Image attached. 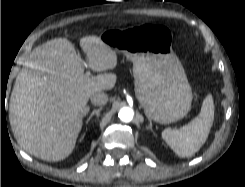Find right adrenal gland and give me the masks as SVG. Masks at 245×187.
I'll use <instances>...</instances> for the list:
<instances>
[{"mask_svg":"<svg viewBox=\"0 0 245 187\" xmlns=\"http://www.w3.org/2000/svg\"><path fill=\"white\" fill-rule=\"evenodd\" d=\"M102 110V107H100V108H98V109H94L92 112H91V114H90V116L88 117V119L86 120V124H88L89 123V121L91 120V118L95 115V116H97V117H99V115H100V111Z\"/></svg>","mask_w":245,"mask_h":187,"instance_id":"right-adrenal-gland-1","label":"right adrenal gland"}]
</instances>
